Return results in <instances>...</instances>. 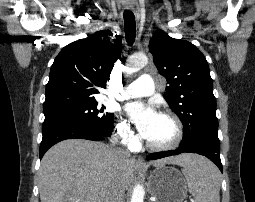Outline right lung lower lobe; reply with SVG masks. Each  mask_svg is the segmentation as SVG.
I'll list each match as a JSON object with an SVG mask.
<instances>
[{"label": "right lung lower lobe", "instance_id": "obj_1", "mask_svg": "<svg viewBox=\"0 0 255 202\" xmlns=\"http://www.w3.org/2000/svg\"><path fill=\"white\" fill-rule=\"evenodd\" d=\"M111 133L112 130L105 133L99 132L87 124L78 121H54L43 123V138L39 152L40 159L51 146L62 140L79 138L99 141L105 137H109Z\"/></svg>", "mask_w": 255, "mask_h": 202}]
</instances>
